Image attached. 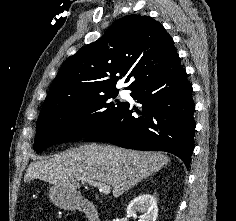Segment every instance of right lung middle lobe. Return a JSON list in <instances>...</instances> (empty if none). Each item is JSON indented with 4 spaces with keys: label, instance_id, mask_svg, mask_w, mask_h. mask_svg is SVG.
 Segmentation results:
<instances>
[{
    "label": "right lung middle lobe",
    "instance_id": "dd1d6c3e",
    "mask_svg": "<svg viewBox=\"0 0 236 221\" xmlns=\"http://www.w3.org/2000/svg\"><path fill=\"white\" fill-rule=\"evenodd\" d=\"M117 91L85 96L55 108L41 110L34 143L40 153L64 141L85 138L100 130L127 104L113 100Z\"/></svg>",
    "mask_w": 236,
    "mask_h": 221
}]
</instances>
